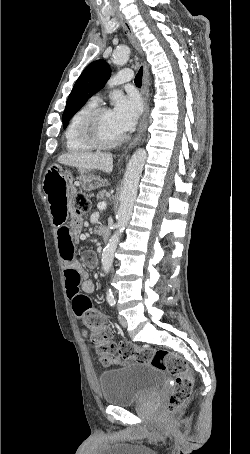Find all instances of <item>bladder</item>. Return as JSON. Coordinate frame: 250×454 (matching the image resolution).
Instances as JSON below:
<instances>
[{"label": "bladder", "mask_w": 250, "mask_h": 454, "mask_svg": "<svg viewBox=\"0 0 250 454\" xmlns=\"http://www.w3.org/2000/svg\"><path fill=\"white\" fill-rule=\"evenodd\" d=\"M98 380L106 404L128 406L160 389L165 376L149 363L130 360L122 367L102 372Z\"/></svg>", "instance_id": "obj_1"}]
</instances>
